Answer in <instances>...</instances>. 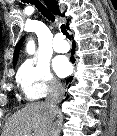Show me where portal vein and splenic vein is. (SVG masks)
<instances>
[{"label":"portal vein and splenic vein","mask_w":117,"mask_h":136,"mask_svg":"<svg viewBox=\"0 0 117 136\" xmlns=\"http://www.w3.org/2000/svg\"><path fill=\"white\" fill-rule=\"evenodd\" d=\"M26 136H32L31 134H28V135H26Z\"/></svg>","instance_id":"18ae733b"}]
</instances>
